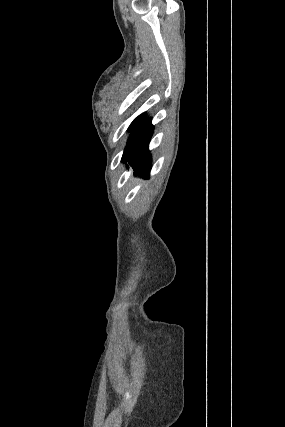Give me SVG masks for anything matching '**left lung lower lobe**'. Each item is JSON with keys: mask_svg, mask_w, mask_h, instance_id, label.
Listing matches in <instances>:
<instances>
[{"mask_svg": "<svg viewBox=\"0 0 285 427\" xmlns=\"http://www.w3.org/2000/svg\"><path fill=\"white\" fill-rule=\"evenodd\" d=\"M144 114L138 116L128 128L131 131L127 147L124 150L122 161L129 162L136 172L149 176L151 157L148 149L153 133L151 119H143Z\"/></svg>", "mask_w": 285, "mask_h": 427, "instance_id": "obj_1", "label": "left lung lower lobe"}]
</instances>
